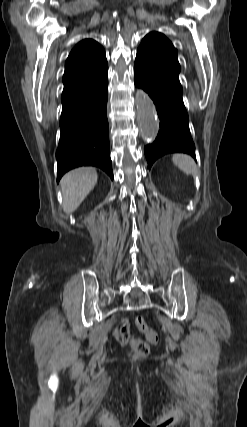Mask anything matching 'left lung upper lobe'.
Wrapping results in <instances>:
<instances>
[{
    "label": "left lung upper lobe",
    "mask_w": 247,
    "mask_h": 427,
    "mask_svg": "<svg viewBox=\"0 0 247 427\" xmlns=\"http://www.w3.org/2000/svg\"><path fill=\"white\" fill-rule=\"evenodd\" d=\"M136 59L168 83L182 89L178 77L180 65L177 49L162 33L151 32L146 35L137 50Z\"/></svg>",
    "instance_id": "1"
}]
</instances>
